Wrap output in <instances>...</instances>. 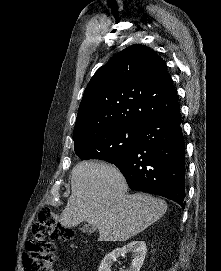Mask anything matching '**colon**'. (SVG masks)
<instances>
[{
	"instance_id": "5ec220e1",
	"label": "colon",
	"mask_w": 221,
	"mask_h": 271,
	"mask_svg": "<svg viewBox=\"0 0 221 271\" xmlns=\"http://www.w3.org/2000/svg\"><path fill=\"white\" fill-rule=\"evenodd\" d=\"M33 236L22 254L23 271H53L56 260L53 240H70L74 231L62 223L55 208L45 206L33 225Z\"/></svg>"
}]
</instances>
